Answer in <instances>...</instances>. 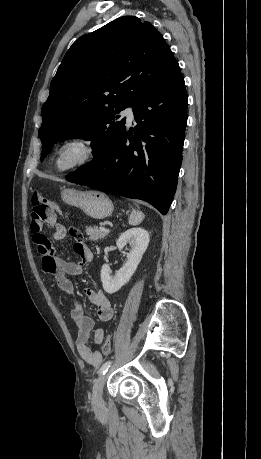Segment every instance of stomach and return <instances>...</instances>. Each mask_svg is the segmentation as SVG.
I'll return each mask as SVG.
<instances>
[{
  "label": "stomach",
  "mask_w": 261,
  "mask_h": 459,
  "mask_svg": "<svg viewBox=\"0 0 261 459\" xmlns=\"http://www.w3.org/2000/svg\"><path fill=\"white\" fill-rule=\"evenodd\" d=\"M61 198L66 204L80 208L86 215L94 219L108 217L114 208L108 196L99 191L65 189L61 192Z\"/></svg>",
  "instance_id": "1"
}]
</instances>
